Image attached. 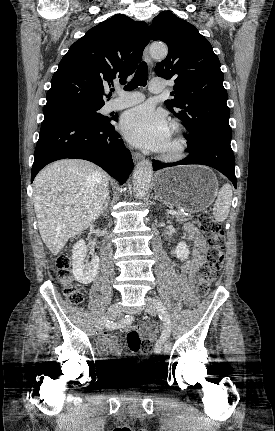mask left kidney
Wrapping results in <instances>:
<instances>
[{
	"instance_id": "left-kidney-1",
	"label": "left kidney",
	"mask_w": 275,
	"mask_h": 431,
	"mask_svg": "<svg viewBox=\"0 0 275 431\" xmlns=\"http://www.w3.org/2000/svg\"><path fill=\"white\" fill-rule=\"evenodd\" d=\"M175 253L178 259L185 260L188 258L189 249L185 242H180L177 244Z\"/></svg>"
}]
</instances>
